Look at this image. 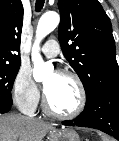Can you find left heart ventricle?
Here are the masks:
<instances>
[{
    "label": "left heart ventricle",
    "mask_w": 119,
    "mask_h": 141,
    "mask_svg": "<svg viewBox=\"0 0 119 141\" xmlns=\"http://www.w3.org/2000/svg\"><path fill=\"white\" fill-rule=\"evenodd\" d=\"M43 84L47 100L54 110L70 113L77 108L79 90L72 78L51 73L45 78Z\"/></svg>",
    "instance_id": "1"
}]
</instances>
